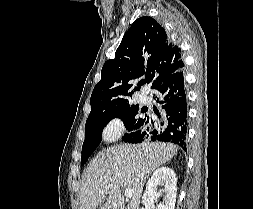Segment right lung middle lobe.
<instances>
[{"instance_id": "right-lung-middle-lobe-1", "label": "right lung middle lobe", "mask_w": 253, "mask_h": 209, "mask_svg": "<svg viewBox=\"0 0 253 209\" xmlns=\"http://www.w3.org/2000/svg\"><path fill=\"white\" fill-rule=\"evenodd\" d=\"M114 118H121L129 133L135 132L144 123V116L140 114L138 106H131L125 109H117L107 113H100L88 117L85 125L86 137L82 146L81 165H84L90 155L95 151L102 140L103 128Z\"/></svg>"}]
</instances>
